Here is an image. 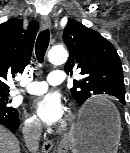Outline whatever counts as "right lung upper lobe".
Masks as SVG:
<instances>
[{
  "label": "right lung upper lobe",
  "instance_id": "right-lung-upper-lobe-1",
  "mask_svg": "<svg viewBox=\"0 0 130 153\" xmlns=\"http://www.w3.org/2000/svg\"><path fill=\"white\" fill-rule=\"evenodd\" d=\"M39 25L29 23L28 30L23 29L21 20H9L0 24V91H8L5 83L7 76L22 72L30 61L34 40Z\"/></svg>",
  "mask_w": 130,
  "mask_h": 153
}]
</instances>
